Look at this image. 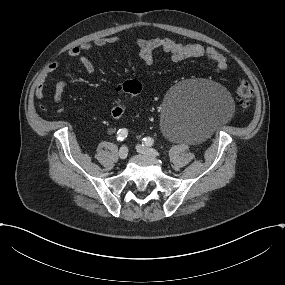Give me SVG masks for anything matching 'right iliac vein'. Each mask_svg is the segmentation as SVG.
<instances>
[{"label":"right iliac vein","instance_id":"63e3f726","mask_svg":"<svg viewBox=\"0 0 285 285\" xmlns=\"http://www.w3.org/2000/svg\"><path fill=\"white\" fill-rule=\"evenodd\" d=\"M128 156V149L126 146H122L119 150V158L124 160Z\"/></svg>","mask_w":285,"mask_h":285}]
</instances>
